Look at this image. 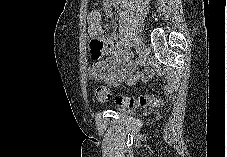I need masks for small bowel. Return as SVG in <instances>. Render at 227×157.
<instances>
[{"instance_id": "obj_1", "label": "small bowel", "mask_w": 227, "mask_h": 157, "mask_svg": "<svg viewBox=\"0 0 227 157\" xmlns=\"http://www.w3.org/2000/svg\"><path fill=\"white\" fill-rule=\"evenodd\" d=\"M107 3L118 7L120 0H107ZM102 17L98 10H92L88 15V32L91 38L89 46L90 58H104L103 73L95 80H103L107 84L117 86L126 79H131L136 69L130 54L120 48L115 35H105L101 23Z\"/></svg>"}]
</instances>
